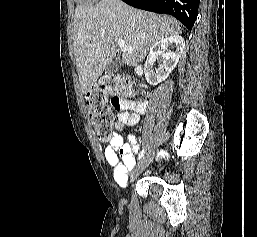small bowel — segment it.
<instances>
[{
    "label": "small bowel",
    "instance_id": "1",
    "mask_svg": "<svg viewBox=\"0 0 257 237\" xmlns=\"http://www.w3.org/2000/svg\"><path fill=\"white\" fill-rule=\"evenodd\" d=\"M118 111L114 124L116 132L113 133L109 144L104 149V157L113 169L115 182L120 186L127 184L128 173L135 166V155L139 145L134 135H129L126 140L119 134L125 127L138 124L140 117L146 112V100H124L113 104Z\"/></svg>",
    "mask_w": 257,
    "mask_h": 237
}]
</instances>
